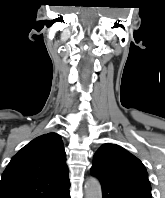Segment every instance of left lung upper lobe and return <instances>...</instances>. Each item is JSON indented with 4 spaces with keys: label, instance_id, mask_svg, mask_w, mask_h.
<instances>
[{
    "label": "left lung upper lobe",
    "instance_id": "left-lung-upper-lobe-1",
    "mask_svg": "<svg viewBox=\"0 0 165 198\" xmlns=\"http://www.w3.org/2000/svg\"><path fill=\"white\" fill-rule=\"evenodd\" d=\"M91 174L133 198H152L145 166L134 155L116 144H104L93 157Z\"/></svg>",
    "mask_w": 165,
    "mask_h": 198
}]
</instances>
